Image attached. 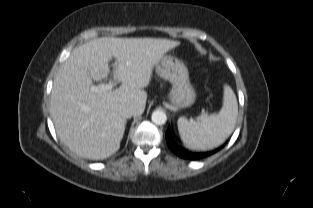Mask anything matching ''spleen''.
<instances>
[{"instance_id": "3e777b00", "label": "spleen", "mask_w": 313, "mask_h": 208, "mask_svg": "<svg viewBox=\"0 0 313 208\" xmlns=\"http://www.w3.org/2000/svg\"><path fill=\"white\" fill-rule=\"evenodd\" d=\"M238 115L235 93L224 86L223 106L218 114L200 117L197 121L178 119V131L184 145L191 150H209L222 144L232 133Z\"/></svg>"}]
</instances>
